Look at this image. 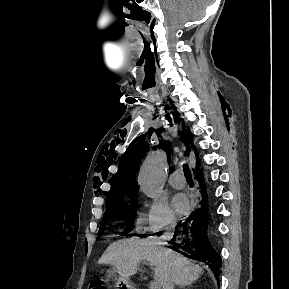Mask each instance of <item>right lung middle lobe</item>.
<instances>
[{
	"label": "right lung middle lobe",
	"mask_w": 289,
	"mask_h": 289,
	"mask_svg": "<svg viewBox=\"0 0 289 289\" xmlns=\"http://www.w3.org/2000/svg\"><path fill=\"white\" fill-rule=\"evenodd\" d=\"M137 199L138 195L133 196L132 198L129 199L106 204V211L103 215L98 237L103 232L107 221L112 217L123 220L127 224L128 228L125 231V233L131 231L134 225V216L136 213Z\"/></svg>",
	"instance_id": "right-lung-middle-lobe-1"
}]
</instances>
